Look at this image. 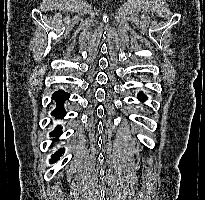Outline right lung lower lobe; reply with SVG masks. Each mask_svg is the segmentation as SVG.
Instances as JSON below:
<instances>
[{"label": "right lung lower lobe", "mask_w": 205, "mask_h": 200, "mask_svg": "<svg viewBox=\"0 0 205 200\" xmlns=\"http://www.w3.org/2000/svg\"><path fill=\"white\" fill-rule=\"evenodd\" d=\"M69 98V94L65 93L64 91H58L54 93L53 99L57 102V108L55 111L52 112V115L55 117L63 118L66 114L63 108V103L66 99ZM61 134V127L58 126L50 135L51 136H59ZM64 152V149H60V151L56 152L53 157L51 163L55 162L58 160V158L61 156V153Z\"/></svg>", "instance_id": "98d812e1"}]
</instances>
